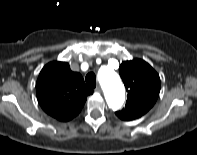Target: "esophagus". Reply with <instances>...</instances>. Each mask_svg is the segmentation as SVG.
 <instances>
[{"mask_svg":"<svg viewBox=\"0 0 197 155\" xmlns=\"http://www.w3.org/2000/svg\"><path fill=\"white\" fill-rule=\"evenodd\" d=\"M95 91L98 92V93H101V92H102V89H101L100 86H97V87L95 88Z\"/></svg>","mask_w":197,"mask_h":155,"instance_id":"34e87169","label":"esophagus"}]
</instances>
